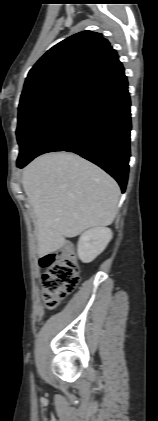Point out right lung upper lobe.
I'll return each mask as SVG.
<instances>
[{"mask_svg": "<svg viewBox=\"0 0 158 421\" xmlns=\"http://www.w3.org/2000/svg\"><path fill=\"white\" fill-rule=\"evenodd\" d=\"M116 60V51L102 34L79 32L56 44L37 61L28 73L21 98L57 83L84 84Z\"/></svg>", "mask_w": 158, "mask_h": 421, "instance_id": "1", "label": "right lung upper lobe"}]
</instances>
